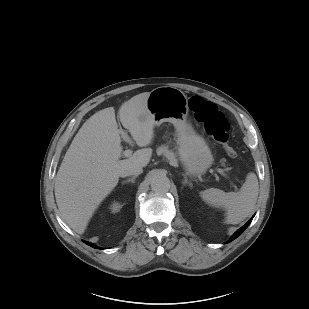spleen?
Listing matches in <instances>:
<instances>
[{
    "instance_id": "spleen-1",
    "label": "spleen",
    "mask_w": 309,
    "mask_h": 309,
    "mask_svg": "<svg viewBox=\"0 0 309 309\" xmlns=\"http://www.w3.org/2000/svg\"><path fill=\"white\" fill-rule=\"evenodd\" d=\"M258 193L257 177L254 173H249L239 192L226 193L217 188H210L200 192V196L209 205L225 208L226 223L238 224L252 213Z\"/></svg>"
}]
</instances>
